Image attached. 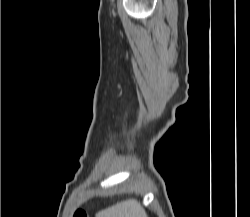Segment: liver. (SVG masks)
Masks as SVG:
<instances>
[{"instance_id": "1", "label": "liver", "mask_w": 250, "mask_h": 217, "mask_svg": "<svg viewBox=\"0 0 250 217\" xmlns=\"http://www.w3.org/2000/svg\"><path fill=\"white\" fill-rule=\"evenodd\" d=\"M96 217H147L136 199H128L96 213Z\"/></svg>"}]
</instances>
